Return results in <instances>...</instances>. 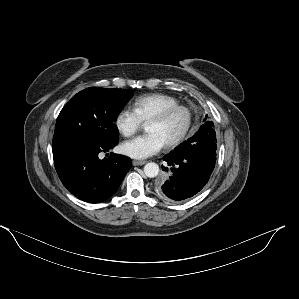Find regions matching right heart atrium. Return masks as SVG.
I'll use <instances>...</instances> for the list:
<instances>
[{"mask_svg":"<svg viewBox=\"0 0 299 299\" xmlns=\"http://www.w3.org/2000/svg\"><path fill=\"white\" fill-rule=\"evenodd\" d=\"M142 123L134 110L128 107L121 108L114 118L117 132L125 137L134 135L142 127Z\"/></svg>","mask_w":299,"mask_h":299,"instance_id":"1","label":"right heart atrium"}]
</instances>
